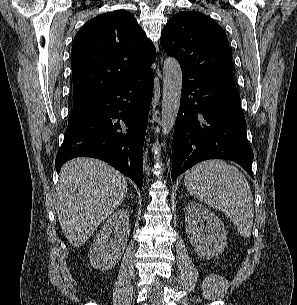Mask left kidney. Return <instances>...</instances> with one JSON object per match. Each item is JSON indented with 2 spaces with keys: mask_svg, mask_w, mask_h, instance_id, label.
I'll list each match as a JSON object with an SVG mask.
<instances>
[{
  "mask_svg": "<svg viewBox=\"0 0 297 305\" xmlns=\"http://www.w3.org/2000/svg\"><path fill=\"white\" fill-rule=\"evenodd\" d=\"M204 222L206 227L198 226ZM185 229L190 243L200 257L210 259L218 256L227 244L223 222L211 210L197 202H190L186 206Z\"/></svg>",
  "mask_w": 297,
  "mask_h": 305,
  "instance_id": "5707ae66",
  "label": "left kidney"
}]
</instances>
